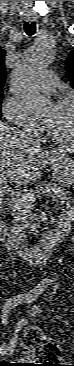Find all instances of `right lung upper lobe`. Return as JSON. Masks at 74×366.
<instances>
[{
    "label": "right lung upper lobe",
    "instance_id": "cb5924a9",
    "mask_svg": "<svg viewBox=\"0 0 74 366\" xmlns=\"http://www.w3.org/2000/svg\"><path fill=\"white\" fill-rule=\"evenodd\" d=\"M6 51L0 48V92H2V87L6 79V71L4 66V56Z\"/></svg>",
    "mask_w": 74,
    "mask_h": 366
}]
</instances>
